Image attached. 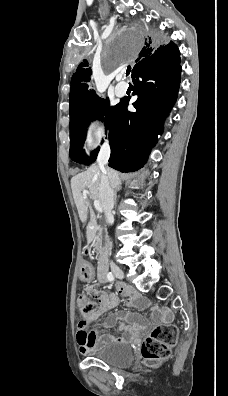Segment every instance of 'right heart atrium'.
<instances>
[{
	"label": "right heart atrium",
	"mask_w": 228,
	"mask_h": 396,
	"mask_svg": "<svg viewBox=\"0 0 228 396\" xmlns=\"http://www.w3.org/2000/svg\"><path fill=\"white\" fill-rule=\"evenodd\" d=\"M107 140V130L97 116H92L86 122L83 130V143L90 150Z\"/></svg>",
	"instance_id": "obj_1"
}]
</instances>
